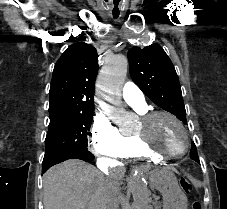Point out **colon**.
I'll return each instance as SVG.
<instances>
[{
    "mask_svg": "<svg viewBox=\"0 0 227 209\" xmlns=\"http://www.w3.org/2000/svg\"><path fill=\"white\" fill-rule=\"evenodd\" d=\"M180 187L184 192H189L192 189L191 181L186 178H182L180 180ZM191 209H202V206L199 200L195 199L192 202Z\"/></svg>",
    "mask_w": 227,
    "mask_h": 209,
    "instance_id": "colon-1",
    "label": "colon"
}]
</instances>
